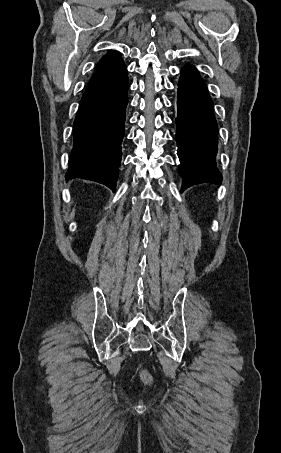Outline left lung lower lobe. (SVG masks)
Instances as JSON below:
<instances>
[{
  "instance_id": "1",
  "label": "left lung lower lobe",
  "mask_w": 281,
  "mask_h": 453,
  "mask_svg": "<svg viewBox=\"0 0 281 453\" xmlns=\"http://www.w3.org/2000/svg\"><path fill=\"white\" fill-rule=\"evenodd\" d=\"M176 118L177 154L181 162L182 190L200 184H221L217 169L218 127L207 87L193 66L181 70Z\"/></svg>"
}]
</instances>
